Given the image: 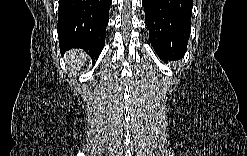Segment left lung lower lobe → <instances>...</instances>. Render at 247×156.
Masks as SVG:
<instances>
[{"mask_svg": "<svg viewBox=\"0 0 247 156\" xmlns=\"http://www.w3.org/2000/svg\"><path fill=\"white\" fill-rule=\"evenodd\" d=\"M145 23L157 55L167 63L181 59L191 31L192 0H143Z\"/></svg>", "mask_w": 247, "mask_h": 156, "instance_id": "left-lung-lower-lobe-1", "label": "left lung lower lobe"}]
</instances>
